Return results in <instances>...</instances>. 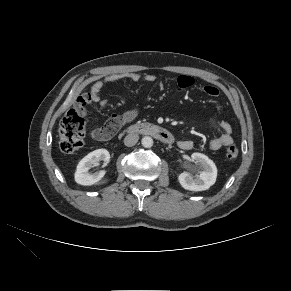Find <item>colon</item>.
Masks as SVG:
<instances>
[{"label": "colon", "instance_id": "1", "mask_svg": "<svg viewBox=\"0 0 291 291\" xmlns=\"http://www.w3.org/2000/svg\"><path fill=\"white\" fill-rule=\"evenodd\" d=\"M89 94L82 95L77 100V107L69 110L63 117L59 128V145L64 153H73L79 150L86 135L88 122L85 118L82 108L90 103ZM121 127V121L117 117L111 118L106 123V130L112 136ZM238 148L231 144L226 149V157L234 160L238 157Z\"/></svg>", "mask_w": 291, "mask_h": 291}]
</instances>
